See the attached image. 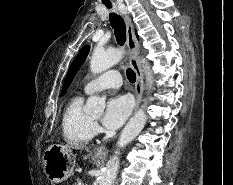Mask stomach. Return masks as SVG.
Returning <instances> with one entry per match:
<instances>
[{
    "instance_id": "0dacf381",
    "label": "stomach",
    "mask_w": 233,
    "mask_h": 185,
    "mask_svg": "<svg viewBox=\"0 0 233 185\" xmlns=\"http://www.w3.org/2000/svg\"><path fill=\"white\" fill-rule=\"evenodd\" d=\"M102 159L103 156L95 155ZM75 155L68 148L53 144L43 154V169L47 178L54 183H61L73 175Z\"/></svg>"
}]
</instances>
